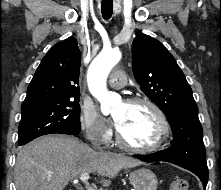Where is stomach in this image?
<instances>
[{
    "label": "stomach",
    "mask_w": 221,
    "mask_h": 190,
    "mask_svg": "<svg viewBox=\"0 0 221 190\" xmlns=\"http://www.w3.org/2000/svg\"><path fill=\"white\" fill-rule=\"evenodd\" d=\"M130 183L134 190H156L158 180L156 175L148 169H138L130 173Z\"/></svg>",
    "instance_id": "0dacf381"
}]
</instances>
